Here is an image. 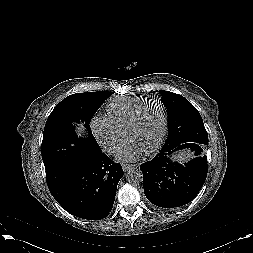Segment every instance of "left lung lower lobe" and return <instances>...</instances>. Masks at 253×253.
Masks as SVG:
<instances>
[{
    "label": "left lung lower lobe",
    "mask_w": 253,
    "mask_h": 253,
    "mask_svg": "<svg viewBox=\"0 0 253 253\" xmlns=\"http://www.w3.org/2000/svg\"><path fill=\"white\" fill-rule=\"evenodd\" d=\"M188 150L194 158L184 165L172 162L170 155ZM205 146L184 142L162 147L150 161L140 165L147 199L161 209H173L191 202L201 190L208 171Z\"/></svg>",
    "instance_id": "left-lung-lower-lobe-1"
}]
</instances>
